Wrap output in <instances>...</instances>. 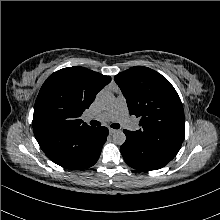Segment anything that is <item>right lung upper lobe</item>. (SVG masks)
Returning <instances> with one entry per match:
<instances>
[{
  "mask_svg": "<svg viewBox=\"0 0 220 220\" xmlns=\"http://www.w3.org/2000/svg\"><path fill=\"white\" fill-rule=\"evenodd\" d=\"M110 81V76L77 66L54 72L42 85L34 106L33 130L40 147L53 148L94 129L80 116Z\"/></svg>",
  "mask_w": 220,
  "mask_h": 220,
  "instance_id": "right-lung-upper-lobe-1",
  "label": "right lung upper lobe"
}]
</instances>
